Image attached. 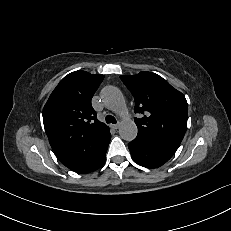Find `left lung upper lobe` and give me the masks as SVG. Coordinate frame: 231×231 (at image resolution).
Segmentation results:
<instances>
[{"label": "left lung upper lobe", "instance_id": "left-lung-upper-lobe-1", "mask_svg": "<svg viewBox=\"0 0 231 231\" xmlns=\"http://www.w3.org/2000/svg\"><path fill=\"white\" fill-rule=\"evenodd\" d=\"M135 99L137 137L177 149L187 127V101L161 76L151 72L120 76Z\"/></svg>", "mask_w": 231, "mask_h": 231}]
</instances>
